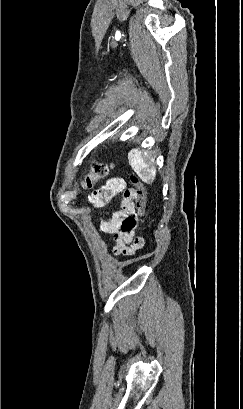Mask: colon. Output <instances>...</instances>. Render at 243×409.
I'll return each instance as SVG.
<instances>
[{"instance_id": "5ec220e1", "label": "colon", "mask_w": 243, "mask_h": 409, "mask_svg": "<svg viewBox=\"0 0 243 409\" xmlns=\"http://www.w3.org/2000/svg\"><path fill=\"white\" fill-rule=\"evenodd\" d=\"M110 170V165L107 163L94 162L91 165L90 170L83 178L81 184L83 188H91L94 184L104 179ZM132 183L135 186V199H136V216L137 226H141L146 210V189L136 177H132Z\"/></svg>"}]
</instances>
